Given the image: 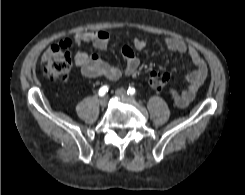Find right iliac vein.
I'll list each match as a JSON object with an SVG mask.
<instances>
[{
	"mask_svg": "<svg viewBox=\"0 0 245 195\" xmlns=\"http://www.w3.org/2000/svg\"><path fill=\"white\" fill-rule=\"evenodd\" d=\"M108 103V98L107 97H103L101 100H100V105L102 107H105Z\"/></svg>",
	"mask_w": 245,
	"mask_h": 195,
	"instance_id": "right-iliac-vein-1",
	"label": "right iliac vein"
}]
</instances>
